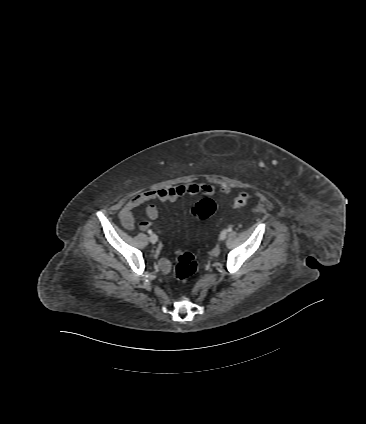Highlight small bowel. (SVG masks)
I'll list each match as a JSON object with an SVG mask.
<instances>
[{
    "instance_id": "obj_1",
    "label": "small bowel",
    "mask_w": 366,
    "mask_h": 424,
    "mask_svg": "<svg viewBox=\"0 0 366 424\" xmlns=\"http://www.w3.org/2000/svg\"><path fill=\"white\" fill-rule=\"evenodd\" d=\"M216 191V188L210 184L194 182L145 191L134 196L122 207L119 212V220L125 229L129 231L133 230V211L138 207L146 205L145 214L148 220L142 221L139 225V228L142 231L147 229L150 230L149 228L152 226V221L158 217V208L152 203L153 201L174 202L180 197L197 194L212 196L216 193ZM221 192L223 194H228L229 190L224 188L221 189ZM159 251L160 249L158 248L157 253H159ZM160 268L164 272L169 271L170 262L167 259L161 260Z\"/></svg>"
}]
</instances>
